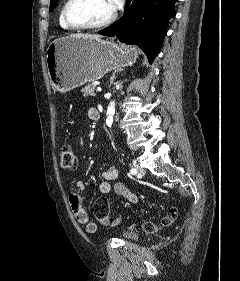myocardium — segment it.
Segmentation results:
<instances>
[{
  "instance_id": "myocardium-1",
  "label": "myocardium",
  "mask_w": 240,
  "mask_h": 281,
  "mask_svg": "<svg viewBox=\"0 0 240 281\" xmlns=\"http://www.w3.org/2000/svg\"><path fill=\"white\" fill-rule=\"evenodd\" d=\"M73 2H74V0H67L62 9V15H63L64 22L72 29L90 30V29L102 28V27H105V26L109 25L110 23H112L117 16L116 10L114 9L112 14L103 21L93 23V24L76 23L71 19L70 15H69V8Z\"/></svg>"
}]
</instances>
